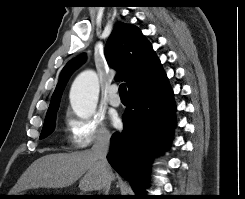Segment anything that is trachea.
<instances>
[{
	"label": "trachea",
	"instance_id": "1",
	"mask_svg": "<svg viewBox=\"0 0 245 199\" xmlns=\"http://www.w3.org/2000/svg\"><path fill=\"white\" fill-rule=\"evenodd\" d=\"M119 94H120V96H127V89H126V84L125 83H122L119 86Z\"/></svg>",
	"mask_w": 245,
	"mask_h": 199
}]
</instances>
